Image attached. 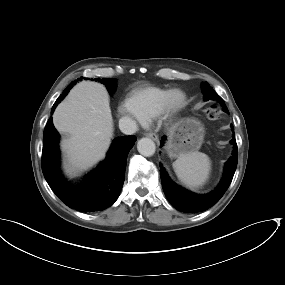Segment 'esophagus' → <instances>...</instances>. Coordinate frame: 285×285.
Returning a JSON list of instances; mask_svg holds the SVG:
<instances>
[{
	"mask_svg": "<svg viewBox=\"0 0 285 285\" xmlns=\"http://www.w3.org/2000/svg\"><path fill=\"white\" fill-rule=\"evenodd\" d=\"M147 136L150 137L152 140H154L156 142L159 140L158 135L155 134V133H149V134H147Z\"/></svg>",
	"mask_w": 285,
	"mask_h": 285,
	"instance_id": "1",
	"label": "esophagus"
}]
</instances>
